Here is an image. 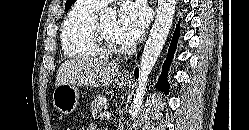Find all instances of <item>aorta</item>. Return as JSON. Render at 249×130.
<instances>
[{
	"instance_id": "obj_1",
	"label": "aorta",
	"mask_w": 249,
	"mask_h": 130,
	"mask_svg": "<svg viewBox=\"0 0 249 130\" xmlns=\"http://www.w3.org/2000/svg\"><path fill=\"white\" fill-rule=\"evenodd\" d=\"M176 2V0H158L156 19L141 56L136 93L130 108L132 121L137 118L142 107L149 75L157 62L171 29Z\"/></svg>"
}]
</instances>
